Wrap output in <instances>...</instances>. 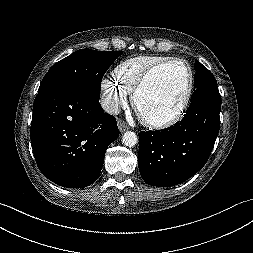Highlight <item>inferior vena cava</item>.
I'll return each mask as SVG.
<instances>
[{
    "label": "inferior vena cava",
    "instance_id": "602c4592",
    "mask_svg": "<svg viewBox=\"0 0 253 253\" xmlns=\"http://www.w3.org/2000/svg\"><path fill=\"white\" fill-rule=\"evenodd\" d=\"M101 106L109 114H112V115L119 114V111H120L119 104L111 98H108V97L102 98Z\"/></svg>",
    "mask_w": 253,
    "mask_h": 253
}]
</instances>
